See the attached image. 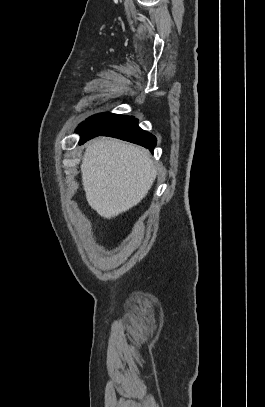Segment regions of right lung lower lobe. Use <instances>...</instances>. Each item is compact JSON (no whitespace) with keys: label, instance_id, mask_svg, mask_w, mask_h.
Wrapping results in <instances>:
<instances>
[{"label":"right lung lower lobe","instance_id":"obj_1","mask_svg":"<svg viewBox=\"0 0 265 407\" xmlns=\"http://www.w3.org/2000/svg\"><path fill=\"white\" fill-rule=\"evenodd\" d=\"M111 136L125 141H129L148 148L153 151L156 146V138L154 135L140 129L138 120L133 116L126 117L116 125L107 129L106 131L91 137H81L80 144L96 136Z\"/></svg>","mask_w":265,"mask_h":407}]
</instances>
